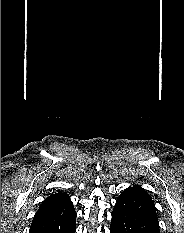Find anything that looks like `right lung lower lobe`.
<instances>
[{
	"instance_id": "1",
	"label": "right lung lower lobe",
	"mask_w": 184,
	"mask_h": 233,
	"mask_svg": "<svg viewBox=\"0 0 184 233\" xmlns=\"http://www.w3.org/2000/svg\"><path fill=\"white\" fill-rule=\"evenodd\" d=\"M76 212L72 205L36 213L29 233H75Z\"/></svg>"
}]
</instances>
